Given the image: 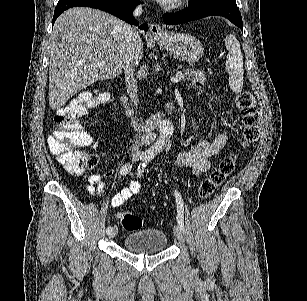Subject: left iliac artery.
Returning <instances> with one entry per match:
<instances>
[{"label": "left iliac artery", "mask_w": 307, "mask_h": 301, "mask_svg": "<svg viewBox=\"0 0 307 301\" xmlns=\"http://www.w3.org/2000/svg\"><path fill=\"white\" fill-rule=\"evenodd\" d=\"M145 167H146L145 162L142 163L141 165H139V167L137 169V175L138 176L143 175ZM174 196L176 198V203H177V223H178V226L180 227V229L182 230V232H184V217H183L184 203H183V199H182L180 193L177 190H174Z\"/></svg>", "instance_id": "obj_1"}]
</instances>
